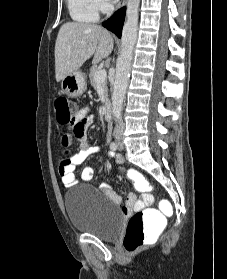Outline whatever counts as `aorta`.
Here are the masks:
<instances>
[{
	"label": "aorta",
	"instance_id": "aorta-1",
	"mask_svg": "<svg viewBox=\"0 0 227 279\" xmlns=\"http://www.w3.org/2000/svg\"><path fill=\"white\" fill-rule=\"evenodd\" d=\"M139 5L140 0L127 1L126 20L121 38V52L116 63V74L112 93V113L116 121L121 119L123 101L137 40Z\"/></svg>",
	"mask_w": 227,
	"mask_h": 279
}]
</instances>
